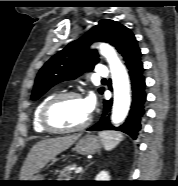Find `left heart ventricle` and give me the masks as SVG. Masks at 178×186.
I'll return each mask as SVG.
<instances>
[{
	"label": "left heart ventricle",
	"instance_id": "1",
	"mask_svg": "<svg viewBox=\"0 0 178 186\" xmlns=\"http://www.w3.org/2000/svg\"><path fill=\"white\" fill-rule=\"evenodd\" d=\"M89 114L83 99L67 98L54 105L49 119L56 127L72 128L84 123Z\"/></svg>",
	"mask_w": 178,
	"mask_h": 186
}]
</instances>
